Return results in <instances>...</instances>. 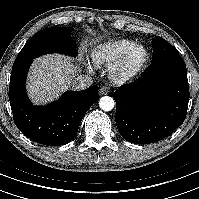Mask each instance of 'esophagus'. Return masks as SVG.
Returning <instances> with one entry per match:
<instances>
[{"instance_id":"obj_1","label":"esophagus","mask_w":199,"mask_h":199,"mask_svg":"<svg viewBox=\"0 0 199 199\" xmlns=\"http://www.w3.org/2000/svg\"><path fill=\"white\" fill-rule=\"evenodd\" d=\"M109 93V89L107 87H102L100 90H99V94L100 95H107Z\"/></svg>"}]
</instances>
